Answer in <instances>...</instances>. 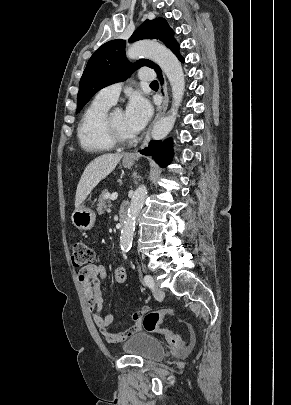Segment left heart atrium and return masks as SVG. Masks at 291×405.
I'll use <instances>...</instances> for the list:
<instances>
[{
	"label": "left heart atrium",
	"mask_w": 291,
	"mask_h": 405,
	"mask_svg": "<svg viewBox=\"0 0 291 405\" xmlns=\"http://www.w3.org/2000/svg\"><path fill=\"white\" fill-rule=\"evenodd\" d=\"M124 113L127 127L135 135L139 133L149 121L152 108L145 98L135 96L129 101Z\"/></svg>",
	"instance_id": "left-heart-atrium-1"
}]
</instances>
